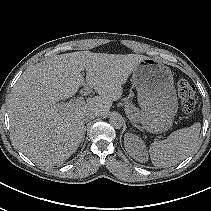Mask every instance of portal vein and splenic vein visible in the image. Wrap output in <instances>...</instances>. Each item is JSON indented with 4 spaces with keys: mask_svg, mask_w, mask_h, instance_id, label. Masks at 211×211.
I'll return each mask as SVG.
<instances>
[{
    "mask_svg": "<svg viewBox=\"0 0 211 211\" xmlns=\"http://www.w3.org/2000/svg\"><path fill=\"white\" fill-rule=\"evenodd\" d=\"M83 103H84V97H79V98L71 100V101H69L67 103H62L59 106L62 109H67V108H74V107L79 106V105H81Z\"/></svg>",
    "mask_w": 211,
    "mask_h": 211,
    "instance_id": "1",
    "label": "portal vein and splenic vein"
}]
</instances>
